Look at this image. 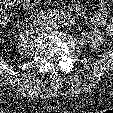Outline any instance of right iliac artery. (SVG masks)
Wrapping results in <instances>:
<instances>
[{
  "mask_svg": "<svg viewBox=\"0 0 113 113\" xmlns=\"http://www.w3.org/2000/svg\"><path fill=\"white\" fill-rule=\"evenodd\" d=\"M50 16H58L61 19H67V15L65 12L63 11H56L54 13L50 12V13H40L38 14L37 18L33 21L34 25L38 26L39 24L42 23L43 20L47 19Z\"/></svg>",
  "mask_w": 113,
  "mask_h": 113,
  "instance_id": "obj_1",
  "label": "right iliac artery"
}]
</instances>
